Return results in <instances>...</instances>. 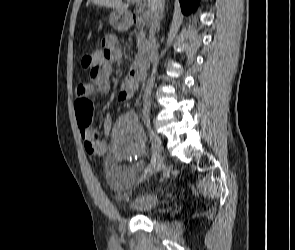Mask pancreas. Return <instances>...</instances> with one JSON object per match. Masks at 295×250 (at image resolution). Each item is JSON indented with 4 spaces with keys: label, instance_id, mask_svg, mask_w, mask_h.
Masks as SVG:
<instances>
[{
    "label": "pancreas",
    "instance_id": "cf45deb5",
    "mask_svg": "<svg viewBox=\"0 0 295 250\" xmlns=\"http://www.w3.org/2000/svg\"><path fill=\"white\" fill-rule=\"evenodd\" d=\"M139 30V29H138ZM137 48H138V58H140V56L146 51L147 49V41L145 38V33L143 30H139L137 33Z\"/></svg>",
    "mask_w": 295,
    "mask_h": 250
}]
</instances>
